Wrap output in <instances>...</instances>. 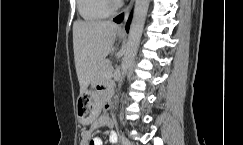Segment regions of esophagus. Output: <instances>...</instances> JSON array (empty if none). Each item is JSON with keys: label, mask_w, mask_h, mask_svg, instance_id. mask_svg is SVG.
<instances>
[{"label": "esophagus", "mask_w": 243, "mask_h": 145, "mask_svg": "<svg viewBox=\"0 0 243 145\" xmlns=\"http://www.w3.org/2000/svg\"><path fill=\"white\" fill-rule=\"evenodd\" d=\"M133 5H134V0H131L129 2V4L127 5V7L124 9V11H123V20H122V22L119 25V31H125L126 23L128 21V18H129L131 10L133 8Z\"/></svg>", "instance_id": "1"}]
</instances>
